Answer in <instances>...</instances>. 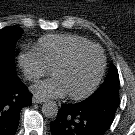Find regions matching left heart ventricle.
Returning <instances> with one entry per match:
<instances>
[{
	"label": "left heart ventricle",
	"instance_id": "left-heart-ventricle-1",
	"mask_svg": "<svg viewBox=\"0 0 135 135\" xmlns=\"http://www.w3.org/2000/svg\"><path fill=\"white\" fill-rule=\"evenodd\" d=\"M101 65V55L96 49L78 54L69 64L58 68L54 75L59 77L67 93L80 94L95 80Z\"/></svg>",
	"mask_w": 135,
	"mask_h": 135
}]
</instances>
